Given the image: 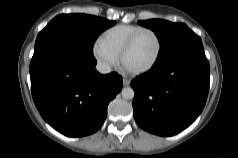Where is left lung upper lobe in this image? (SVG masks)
<instances>
[{
    "mask_svg": "<svg viewBox=\"0 0 238 158\" xmlns=\"http://www.w3.org/2000/svg\"><path fill=\"white\" fill-rule=\"evenodd\" d=\"M138 23L153 30L158 37L161 49L157 61L187 45L202 42L200 37L183 23H171L159 19L139 21Z\"/></svg>",
    "mask_w": 238,
    "mask_h": 158,
    "instance_id": "left-lung-upper-lobe-1",
    "label": "left lung upper lobe"
}]
</instances>
